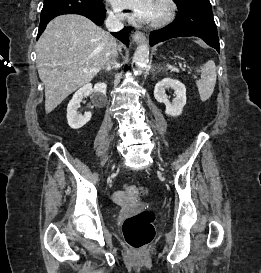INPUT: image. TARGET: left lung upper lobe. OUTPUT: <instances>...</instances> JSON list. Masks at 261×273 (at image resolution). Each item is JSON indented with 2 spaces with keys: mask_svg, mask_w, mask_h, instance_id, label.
<instances>
[{
  "mask_svg": "<svg viewBox=\"0 0 261 273\" xmlns=\"http://www.w3.org/2000/svg\"><path fill=\"white\" fill-rule=\"evenodd\" d=\"M176 3H180V2H183L185 0H174Z\"/></svg>",
  "mask_w": 261,
  "mask_h": 273,
  "instance_id": "1",
  "label": "left lung upper lobe"
}]
</instances>
